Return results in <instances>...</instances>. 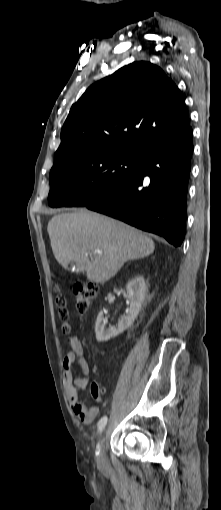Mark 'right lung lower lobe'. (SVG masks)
<instances>
[{
	"mask_svg": "<svg viewBox=\"0 0 221 510\" xmlns=\"http://www.w3.org/2000/svg\"><path fill=\"white\" fill-rule=\"evenodd\" d=\"M192 135L190 127L147 144L136 174L113 192L85 206L180 246L186 227Z\"/></svg>",
	"mask_w": 221,
	"mask_h": 510,
	"instance_id": "right-lung-lower-lobe-1",
	"label": "right lung lower lobe"
}]
</instances>
